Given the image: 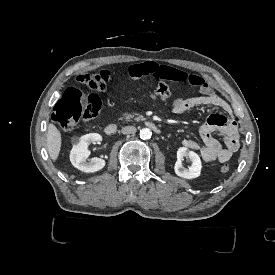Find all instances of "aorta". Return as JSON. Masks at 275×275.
Listing matches in <instances>:
<instances>
[{"label": "aorta", "instance_id": "aorta-1", "mask_svg": "<svg viewBox=\"0 0 275 275\" xmlns=\"http://www.w3.org/2000/svg\"><path fill=\"white\" fill-rule=\"evenodd\" d=\"M152 136L151 130L148 128H143L140 130V138L142 140H149Z\"/></svg>", "mask_w": 275, "mask_h": 275}]
</instances>
